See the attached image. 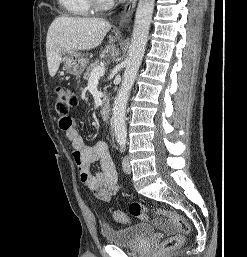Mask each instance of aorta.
<instances>
[{"instance_id":"762f6f07","label":"aorta","mask_w":247,"mask_h":257,"mask_svg":"<svg viewBox=\"0 0 247 257\" xmlns=\"http://www.w3.org/2000/svg\"><path fill=\"white\" fill-rule=\"evenodd\" d=\"M154 1L139 0L138 2L129 54L125 61L126 67L123 80L113 106L112 120L115 136L118 140H123L126 137L127 103L145 53L154 10Z\"/></svg>"}]
</instances>
